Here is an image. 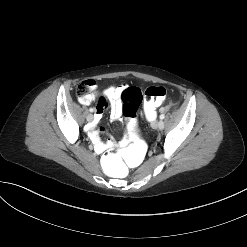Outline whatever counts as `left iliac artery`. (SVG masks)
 Returning <instances> with one entry per match:
<instances>
[{
    "label": "left iliac artery",
    "mask_w": 247,
    "mask_h": 247,
    "mask_svg": "<svg viewBox=\"0 0 247 247\" xmlns=\"http://www.w3.org/2000/svg\"><path fill=\"white\" fill-rule=\"evenodd\" d=\"M165 118V115L164 114H161L160 115V119H164Z\"/></svg>",
    "instance_id": "44dca946"
}]
</instances>
